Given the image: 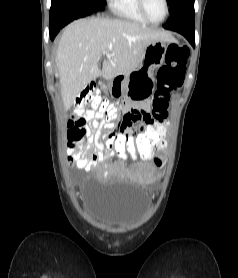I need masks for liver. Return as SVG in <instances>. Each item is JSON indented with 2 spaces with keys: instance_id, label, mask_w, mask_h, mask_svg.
<instances>
[{
  "instance_id": "liver-1",
  "label": "liver",
  "mask_w": 238,
  "mask_h": 278,
  "mask_svg": "<svg viewBox=\"0 0 238 278\" xmlns=\"http://www.w3.org/2000/svg\"><path fill=\"white\" fill-rule=\"evenodd\" d=\"M156 41L171 42L173 38L160 29L122 19L84 18L70 23L62 33L56 55L65 109L98 76L112 80L137 69L148 45ZM106 50L107 59L99 69Z\"/></svg>"
}]
</instances>
